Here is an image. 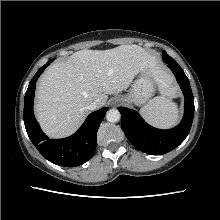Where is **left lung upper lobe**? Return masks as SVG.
I'll use <instances>...</instances> for the list:
<instances>
[{
    "instance_id": "obj_1",
    "label": "left lung upper lobe",
    "mask_w": 220,
    "mask_h": 220,
    "mask_svg": "<svg viewBox=\"0 0 220 220\" xmlns=\"http://www.w3.org/2000/svg\"><path fill=\"white\" fill-rule=\"evenodd\" d=\"M165 56H169L165 51H163V56H162V59H163V57H165ZM170 57V56H169Z\"/></svg>"
}]
</instances>
